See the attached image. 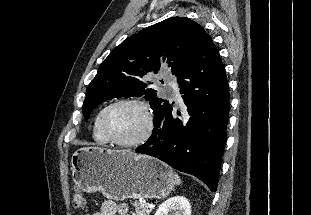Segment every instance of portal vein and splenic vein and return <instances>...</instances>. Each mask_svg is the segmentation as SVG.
I'll return each instance as SVG.
<instances>
[{"label": "portal vein and splenic vein", "mask_w": 311, "mask_h": 215, "mask_svg": "<svg viewBox=\"0 0 311 215\" xmlns=\"http://www.w3.org/2000/svg\"><path fill=\"white\" fill-rule=\"evenodd\" d=\"M148 207H149L150 209H152V208H154V205H153V204H148Z\"/></svg>", "instance_id": "18ae733b"}]
</instances>
